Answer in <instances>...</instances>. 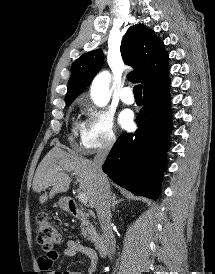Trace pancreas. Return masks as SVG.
<instances>
[{
    "label": "pancreas",
    "instance_id": "pancreas-1",
    "mask_svg": "<svg viewBox=\"0 0 215 274\" xmlns=\"http://www.w3.org/2000/svg\"><path fill=\"white\" fill-rule=\"evenodd\" d=\"M82 233L84 236H87L88 240L95 241L96 240V231L92 222L84 221L81 225Z\"/></svg>",
    "mask_w": 215,
    "mask_h": 274
}]
</instances>
